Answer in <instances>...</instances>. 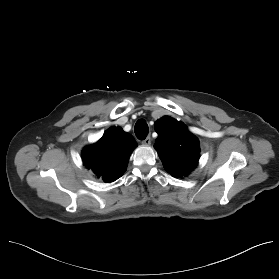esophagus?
Masks as SVG:
<instances>
[{
  "label": "esophagus",
  "mask_w": 279,
  "mask_h": 279,
  "mask_svg": "<svg viewBox=\"0 0 279 279\" xmlns=\"http://www.w3.org/2000/svg\"><path fill=\"white\" fill-rule=\"evenodd\" d=\"M141 143H142L143 145H145V146L150 145V144H151V138H150V136L147 137V138H145L144 140H142Z\"/></svg>",
  "instance_id": "obj_1"
}]
</instances>
